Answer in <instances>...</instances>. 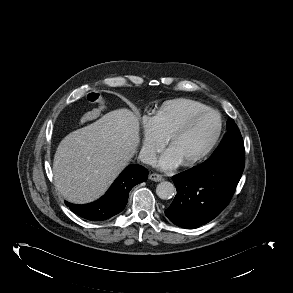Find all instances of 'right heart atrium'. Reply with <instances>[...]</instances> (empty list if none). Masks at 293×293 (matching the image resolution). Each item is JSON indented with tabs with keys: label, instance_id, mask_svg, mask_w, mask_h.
<instances>
[{
	"label": "right heart atrium",
	"instance_id": "obj_1",
	"mask_svg": "<svg viewBox=\"0 0 293 293\" xmlns=\"http://www.w3.org/2000/svg\"><path fill=\"white\" fill-rule=\"evenodd\" d=\"M142 125L141 157L145 162H151L156 153L164 146L166 139L159 133L152 116L144 115Z\"/></svg>",
	"mask_w": 293,
	"mask_h": 293
}]
</instances>
